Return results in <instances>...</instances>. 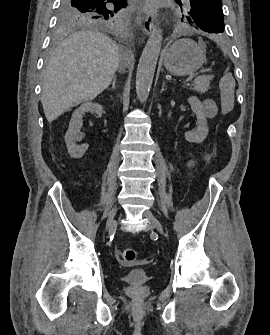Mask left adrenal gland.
Instances as JSON below:
<instances>
[{
	"label": "left adrenal gland",
	"mask_w": 270,
	"mask_h": 335,
	"mask_svg": "<svg viewBox=\"0 0 270 335\" xmlns=\"http://www.w3.org/2000/svg\"><path fill=\"white\" fill-rule=\"evenodd\" d=\"M164 86H165V82H163V84H162V90H161V92H164Z\"/></svg>",
	"instance_id": "obj_1"
}]
</instances>
